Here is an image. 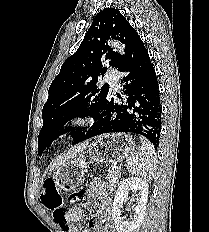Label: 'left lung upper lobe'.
Masks as SVG:
<instances>
[{"instance_id": "left-lung-upper-lobe-1", "label": "left lung upper lobe", "mask_w": 209, "mask_h": 232, "mask_svg": "<svg viewBox=\"0 0 209 232\" xmlns=\"http://www.w3.org/2000/svg\"><path fill=\"white\" fill-rule=\"evenodd\" d=\"M109 38L126 45L124 56L107 45ZM139 38L117 9L105 8L95 16L78 50L66 59L50 85L42 111L39 152L68 131L62 127L72 118L91 116L97 121L109 99L108 84L101 88L97 85L98 78L107 70L102 62L108 60L110 66L118 69ZM90 128L72 130L71 137L75 142H81Z\"/></svg>"}]
</instances>
